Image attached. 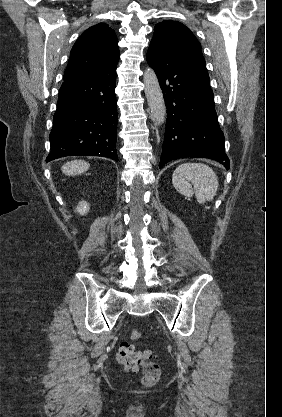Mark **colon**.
Masks as SVG:
<instances>
[{"instance_id": "colon-1", "label": "colon", "mask_w": 282, "mask_h": 417, "mask_svg": "<svg viewBox=\"0 0 282 417\" xmlns=\"http://www.w3.org/2000/svg\"><path fill=\"white\" fill-rule=\"evenodd\" d=\"M130 337L134 341H140L142 338V334L139 330L133 329L130 332ZM140 357H152L150 354V350H145V352L143 351L142 353H140L139 350L134 348L133 345L127 342L120 343L116 354V358L117 363L123 366L125 371L137 372L136 368L140 367L137 366ZM141 373L142 381L146 386L154 384L161 377V369L159 364L152 363L151 366H144V369Z\"/></svg>"}]
</instances>
